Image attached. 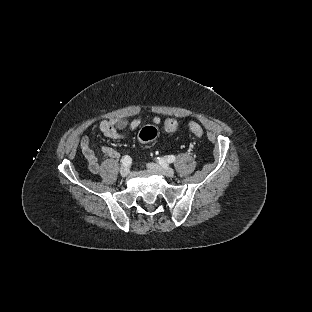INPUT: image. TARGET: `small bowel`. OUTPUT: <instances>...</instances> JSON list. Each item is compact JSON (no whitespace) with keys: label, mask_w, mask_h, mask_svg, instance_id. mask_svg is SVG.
<instances>
[{"label":"small bowel","mask_w":312,"mask_h":312,"mask_svg":"<svg viewBox=\"0 0 312 312\" xmlns=\"http://www.w3.org/2000/svg\"><path fill=\"white\" fill-rule=\"evenodd\" d=\"M153 123L158 125L161 123V119L158 116L153 118ZM141 125L140 119H133L128 121L122 118H115L109 120H102L99 124V129L101 133L111 139H122L123 134L121 131L128 128L131 131L138 129ZM80 149L88 161L89 170L93 174H98L100 171V164L97 154L92 150L90 139L84 136L79 141ZM102 153L111 158H118L119 153L110 146H104L102 148Z\"/></svg>","instance_id":"c3829d8e"}]
</instances>
